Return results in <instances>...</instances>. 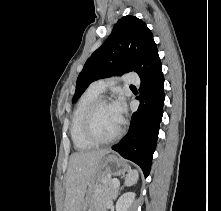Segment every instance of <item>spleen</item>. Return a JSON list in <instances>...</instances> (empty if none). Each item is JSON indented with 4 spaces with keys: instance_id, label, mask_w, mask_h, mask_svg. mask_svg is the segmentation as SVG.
I'll use <instances>...</instances> for the list:
<instances>
[{
    "instance_id": "1",
    "label": "spleen",
    "mask_w": 221,
    "mask_h": 211,
    "mask_svg": "<svg viewBox=\"0 0 221 211\" xmlns=\"http://www.w3.org/2000/svg\"><path fill=\"white\" fill-rule=\"evenodd\" d=\"M139 174L137 170H130L126 176L125 185L131 186L137 182Z\"/></svg>"
}]
</instances>
